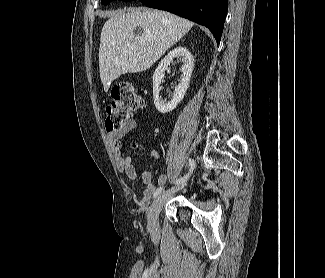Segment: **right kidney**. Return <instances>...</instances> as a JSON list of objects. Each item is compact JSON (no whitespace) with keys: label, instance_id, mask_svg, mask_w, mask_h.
Segmentation results:
<instances>
[{"label":"right kidney","instance_id":"obj_1","mask_svg":"<svg viewBox=\"0 0 325 278\" xmlns=\"http://www.w3.org/2000/svg\"><path fill=\"white\" fill-rule=\"evenodd\" d=\"M175 57H180L183 62V66L181 68L182 75L180 83L175 87L171 101L166 102L165 100H162L161 96L159 95L160 84L163 81L165 70L170 66ZM193 67V56L189 50L183 46L174 48L161 60L153 74L154 105L159 112L163 114L171 112L175 109L178 103H180L188 89Z\"/></svg>","mask_w":325,"mask_h":278}]
</instances>
